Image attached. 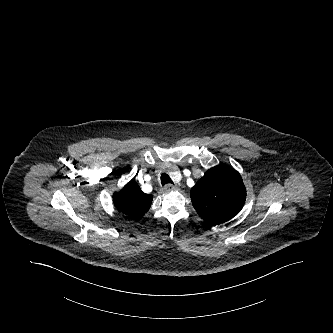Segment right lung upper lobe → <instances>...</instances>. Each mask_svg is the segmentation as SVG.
<instances>
[{"label":"right lung upper lobe","mask_w":333,"mask_h":333,"mask_svg":"<svg viewBox=\"0 0 333 333\" xmlns=\"http://www.w3.org/2000/svg\"><path fill=\"white\" fill-rule=\"evenodd\" d=\"M113 203L128 218L140 219L150 209L152 195L143 193L132 180L120 192L114 193Z\"/></svg>","instance_id":"1"}]
</instances>
